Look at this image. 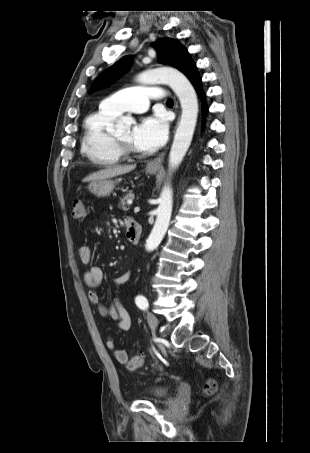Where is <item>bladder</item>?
I'll return each mask as SVG.
<instances>
[{"instance_id":"1","label":"bladder","mask_w":310,"mask_h":453,"mask_svg":"<svg viewBox=\"0 0 310 453\" xmlns=\"http://www.w3.org/2000/svg\"><path fill=\"white\" fill-rule=\"evenodd\" d=\"M168 388L164 385L154 384L146 390V398L149 400H159L166 397Z\"/></svg>"}]
</instances>
